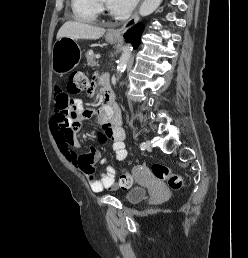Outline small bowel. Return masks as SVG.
I'll list each match as a JSON object with an SVG mask.
<instances>
[{"label": "small bowel", "instance_id": "small-bowel-1", "mask_svg": "<svg viewBox=\"0 0 248 258\" xmlns=\"http://www.w3.org/2000/svg\"><path fill=\"white\" fill-rule=\"evenodd\" d=\"M53 111L50 127L65 158L85 175L93 192L117 190L119 185L115 182V166L107 163L95 146L90 148L88 154L78 155L77 152L81 145L77 139V134L84 120H96L105 135L112 141L116 161L122 162L127 156V150L124 144L125 134L120 125L119 113L117 111L107 112L103 108L99 110L84 109L82 101L72 99L65 88L61 86L55 88ZM96 162L106 164L105 170L101 172L99 177L96 176L93 167Z\"/></svg>", "mask_w": 248, "mask_h": 258}]
</instances>
